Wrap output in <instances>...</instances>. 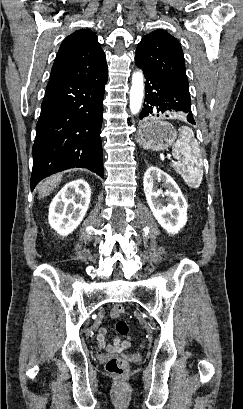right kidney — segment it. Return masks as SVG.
Wrapping results in <instances>:
<instances>
[{
	"label": "right kidney",
	"mask_w": 243,
	"mask_h": 409,
	"mask_svg": "<svg viewBox=\"0 0 243 409\" xmlns=\"http://www.w3.org/2000/svg\"><path fill=\"white\" fill-rule=\"evenodd\" d=\"M90 197L91 189L85 180L78 179L67 183L50 204V226L62 236L73 232L86 215Z\"/></svg>",
	"instance_id": "obj_1"
}]
</instances>
